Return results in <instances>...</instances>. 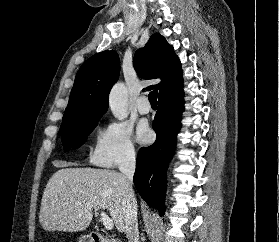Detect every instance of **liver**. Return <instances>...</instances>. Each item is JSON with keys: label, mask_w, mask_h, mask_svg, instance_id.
Returning a JSON list of instances; mask_svg holds the SVG:
<instances>
[{"label": "liver", "mask_w": 279, "mask_h": 242, "mask_svg": "<svg viewBox=\"0 0 279 242\" xmlns=\"http://www.w3.org/2000/svg\"><path fill=\"white\" fill-rule=\"evenodd\" d=\"M49 179L43 193L39 221L45 231L85 230L93 209L109 211L121 233L125 231L128 197L122 173L95 168H66L63 163Z\"/></svg>", "instance_id": "6515ba94"}]
</instances>
